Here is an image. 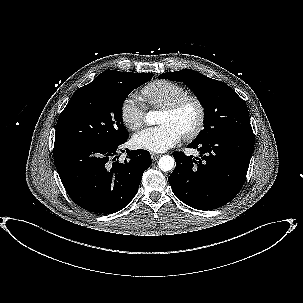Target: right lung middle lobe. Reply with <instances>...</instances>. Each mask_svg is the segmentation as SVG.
I'll list each match as a JSON object with an SVG mask.
<instances>
[{
    "label": "right lung middle lobe",
    "mask_w": 303,
    "mask_h": 303,
    "mask_svg": "<svg viewBox=\"0 0 303 303\" xmlns=\"http://www.w3.org/2000/svg\"><path fill=\"white\" fill-rule=\"evenodd\" d=\"M152 77V73L103 74L79 88L59 116L55 144H112L127 139L123 103L130 92Z\"/></svg>",
    "instance_id": "right-lung-middle-lobe-1"
}]
</instances>
